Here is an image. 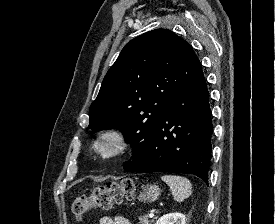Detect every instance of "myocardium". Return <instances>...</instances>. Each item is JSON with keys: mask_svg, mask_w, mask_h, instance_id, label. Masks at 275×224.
I'll list each match as a JSON object with an SVG mask.
<instances>
[{"mask_svg": "<svg viewBox=\"0 0 275 224\" xmlns=\"http://www.w3.org/2000/svg\"><path fill=\"white\" fill-rule=\"evenodd\" d=\"M128 148L126 135L117 128H107L98 132L90 143L91 153L104 161L122 156Z\"/></svg>", "mask_w": 275, "mask_h": 224, "instance_id": "myocardium-1", "label": "myocardium"}]
</instances>
